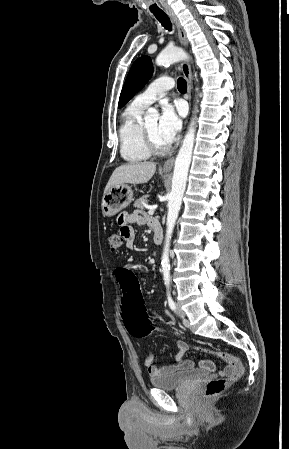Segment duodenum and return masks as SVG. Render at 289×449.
Listing matches in <instances>:
<instances>
[{
    "mask_svg": "<svg viewBox=\"0 0 289 449\" xmlns=\"http://www.w3.org/2000/svg\"><path fill=\"white\" fill-rule=\"evenodd\" d=\"M153 230H154V237L153 240L155 242V244L160 245L163 242V230L160 226V224H156L153 226Z\"/></svg>",
    "mask_w": 289,
    "mask_h": 449,
    "instance_id": "410a0bca",
    "label": "duodenum"
}]
</instances>
